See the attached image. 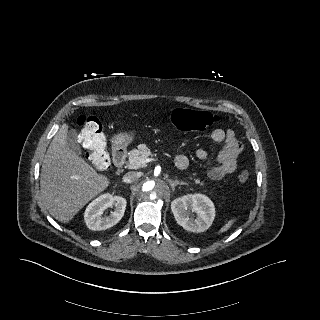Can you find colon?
Here are the masks:
<instances>
[{"label":"colon","instance_id":"obj_1","mask_svg":"<svg viewBox=\"0 0 320 320\" xmlns=\"http://www.w3.org/2000/svg\"><path fill=\"white\" fill-rule=\"evenodd\" d=\"M171 121L181 131L202 132L219 122L216 115L208 111L178 108L171 113ZM77 124L81 127L83 147L94 166L100 170L108 169L110 158L105 151L106 137L101 121L95 116H80ZM250 174L242 170L237 175L240 183L249 180Z\"/></svg>","mask_w":320,"mask_h":320}]
</instances>
